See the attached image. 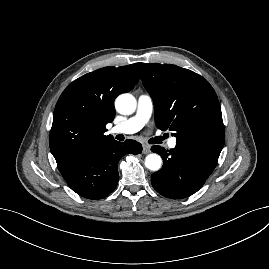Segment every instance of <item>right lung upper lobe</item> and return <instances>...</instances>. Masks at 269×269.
<instances>
[{"instance_id": "right-lung-upper-lobe-1", "label": "right lung upper lobe", "mask_w": 269, "mask_h": 269, "mask_svg": "<svg viewBox=\"0 0 269 269\" xmlns=\"http://www.w3.org/2000/svg\"><path fill=\"white\" fill-rule=\"evenodd\" d=\"M142 63L104 67L70 83L55 106L49 145L57 164L113 140L106 124L115 116L114 100L137 84Z\"/></svg>"}]
</instances>
